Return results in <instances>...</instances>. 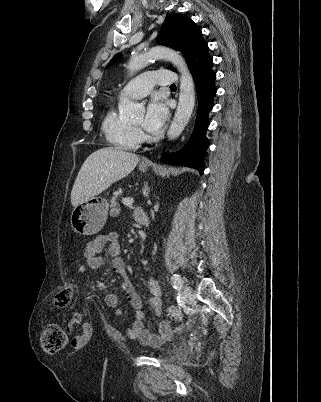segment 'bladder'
I'll use <instances>...</instances> for the list:
<instances>
[{"label":"bladder","mask_w":321,"mask_h":402,"mask_svg":"<svg viewBox=\"0 0 321 402\" xmlns=\"http://www.w3.org/2000/svg\"><path fill=\"white\" fill-rule=\"evenodd\" d=\"M168 341H169V340H166V341H164L162 344H160V345H161V347H162V348L167 347V345H168Z\"/></svg>","instance_id":"obj_1"}]
</instances>
